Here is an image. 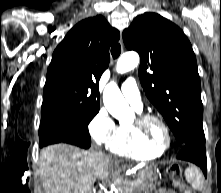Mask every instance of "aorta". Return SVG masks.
I'll list each match as a JSON object with an SVG mask.
<instances>
[{
    "instance_id": "obj_1",
    "label": "aorta",
    "mask_w": 221,
    "mask_h": 193,
    "mask_svg": "<svg viewBox=\"0 0 221 193\" xmlns=\"http://www.w3.org/2000/svg\"><path fill=\"white\" fill-rule=\"evenodd\" d=\"M139 64V55L135 52L123 54L116 64V71L120 74L135 69ZM103 102L109 113L119 121L130 120L133 110L124 99L118 85L110 82L104 89Z\"/></svg>"
}]
</instances>
